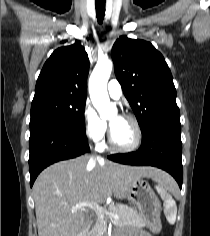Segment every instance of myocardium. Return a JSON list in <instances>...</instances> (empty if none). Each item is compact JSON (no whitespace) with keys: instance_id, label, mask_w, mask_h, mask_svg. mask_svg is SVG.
Returning <instances> with one entry per match:
<instances>
[{"instance_id":"obj_1","label":"myocardium","mask_w":210,"mask_h":236,"mask_svg":"<svg viewBox=\"0 0 210 236\" xmlns=\"http://www.w3.org/2000/svg\"><path fill=\"white\" fill-rule=\"evenodd\" d=\"M122 117L127 119V120H129V121H131L132 124L134 125V128H135V140L129 146H126V147L118 146L113 141L112 130L110 128L109 133H108V146L113 151L120 152V153L133 152V151L137 150L140 147L141 143H142V139H143L142 128H141V125H140L138 119L134 115L126 113V114H123Z\"/></svg>"}]
</instances>
